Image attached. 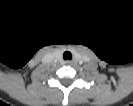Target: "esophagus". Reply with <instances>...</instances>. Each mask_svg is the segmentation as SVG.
I'll list each match as a JSON object with an SVG mask.
<instances>
[{
    "label": "esophagus",
    "instance_id": "obj_1",
    "mask_svg": "<svg viewBox=\"0 0 133 106\" xmlns=\"http://www.w3.org/2000/svg\"><path fill=\"white\" fill-rule=\"evenodd\" d=\"M65 64L69 65V64H71V61L70 60H66Z\"/></svg>",
    "mask_w": 133,
    "mask_h": 106
}]
</instances>
